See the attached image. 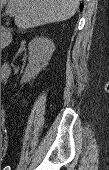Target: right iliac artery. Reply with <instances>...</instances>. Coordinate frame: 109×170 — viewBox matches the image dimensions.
Segmentation results:
<instances>
[{
  "mask_svg": "<svg viewBox=\"0 0 109 170\" xmlns=\"http://www.w3.org/2000/svg\"><path fill=\"white\" fill-rule=\"evenodd\" d=\"M4 170H11L10 166H6Z\"/></svg>",
  "mask_w": 109,
  "mask_h": 170,
  "instance_id": "obj_1",
  "label": "right iliac artery"
}]
</instances>
